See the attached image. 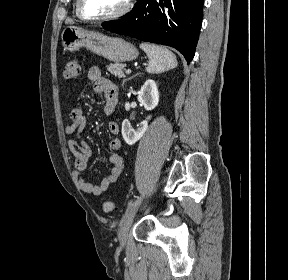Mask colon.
Masks as SVG:
<instances>
[{"label": "colon", "mask_w": 288, "mask_h": 280, "mask_svg": "<svg viewBox=\"0 0 288 280\" xmlns=\"http://www.w3.org/2000/svg\"><path fill=\"white\" fill-rule=\"evenodd\" d=\"M81 75V67L77 59H70L64 68V77L66 79L75 80ZM115 203L113 201H106L103 204L105 212H112L115 210Z\"/></svg>", "instance_id": "obj_1"}]
</instances>
